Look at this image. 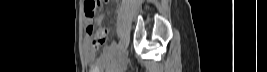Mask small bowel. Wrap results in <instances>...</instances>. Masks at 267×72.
<instances>
[{
    "label": "small bowel",
    "mask_w": 267,
    "mask_h": 72,
    "mask_svg": "<svg viewBox=\"0 0 267 72\" xmlns=\"http://www.w3.org/2000/svg\"><path fill=\"white\" fill-rule=\"evenodd\" d=\"M101 18L98 17L95 19V21L87 19L85 22L87 25L93 24V22H100ZM85 58L87 63L91 67V72H107L109 71L111 67V56H110V51L111 48L108 47L106 48V51L104 54H102L99 57H96L95 51H94V46L92 45L91 41L89 39L86 40L85 42Z\"/></svg>",
    "instance_id": "obj_1"
}]
</instances>
